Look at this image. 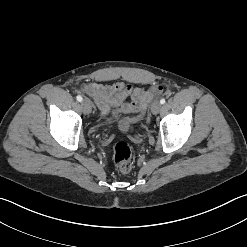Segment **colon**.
Masks as SVG:
<instances>
[{"instance_id":"colon-1","label":"colon","mask_w":247,"mask_h":247,"mask_svg":"<svg viewBox=\"0 0 247 247\" xmlns=\"http://www.w3.org/2000/svg\"><path fill=\"white\" fill-rule=\"evenodd\" d=\"M133 150L123 140L117 141L113 146V160L116 168L121 173H128L132 168Z\"/></svg>"}]
</instances>
